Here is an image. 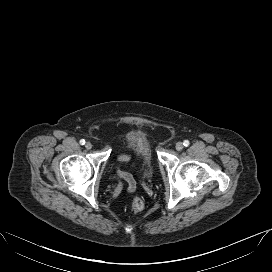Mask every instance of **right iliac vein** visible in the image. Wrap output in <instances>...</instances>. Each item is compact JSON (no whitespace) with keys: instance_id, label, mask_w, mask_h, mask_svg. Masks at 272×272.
<instances>
[{"instance_id":"63e3f726","label":"right iliac vein","mask_w":272,"mask_h":272,"mask_svg":"<svg viewBox=\"0 0 272 272\" xmlns=\"http://www.w3.org/2000/svg\"><path fill=\"white\" fill-rule=\"evenodd\" d=\"M92 143L91 142H87L86 144H85V148L86 149H88V150H90L91 148H92Z\"/></svg>"}]
</instances>
